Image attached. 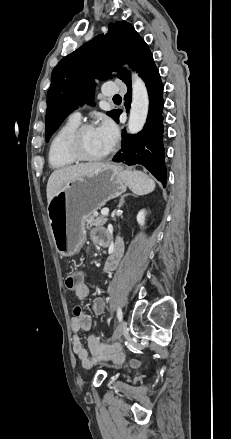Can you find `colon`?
I'll list each match as a JSON object with an SVG mask.
<instances>
[{
  "label": "colon",
  "mask_w": 231,
  "mask_h": 439,
  "mask_svg": "<svg viewBox=\"0 0 231 439\" xmlns=\"http://www.w3.org/2000/svg\"><path fill=\"white\" fill-rule=\"evenodd\" d=\"M83 274H84L83 268H79V266H77V265L74 266V268H70V270L66 271V281H65V283H66V286L68 288H72L71 292H72L73 295H76L75 288H76L78 283H87L85 281V278H84ZM131 364L133 366H138L139 365V361L136 360V359H133L131 361Z\"/></svg>",
  "instance_id": "5ec220e1"
}]
</instances>
